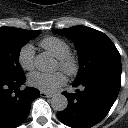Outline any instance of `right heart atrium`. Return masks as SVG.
Returning <instances> with one entry per match:
<instances>
[{
	"label": "right heart atrium",
	"instance_id": "obj_1",
	"mask_svg": "<svg viewBox=\"0 0 128 128\" xmlns=\"http://www.w3.org/2000/svg\"><path fill=\"white\" fill-rule=\"evenodd\" d=\"M18 61L25 70H32L35 67V50L33 45L25 44L19 51Z\"/></svg>",
	"mask_w": 128,
	"mask_h": 128
}]
</instances>
